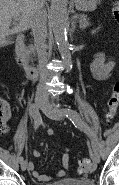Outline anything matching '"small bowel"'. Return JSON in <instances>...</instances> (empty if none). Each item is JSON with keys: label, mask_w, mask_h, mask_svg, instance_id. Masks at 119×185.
<instances>
[{"label": "small bowel", "mask_w": 119, "mask_h": 185, "mask_svg": "<svg viewBox=\"0 0 119 185\" xmlns=\"http://www.w3.org/2000/svg\"><path fill=\"white\" fill-rule=\"evenodd\" d=\"M115 67V61L107 60L105 54L99 52L95 55L94 60L90 65L91 73L94 79L96 80H105L110 76V73ZM4 113L7 115L8 120L11 117V110L7 103L3 105ZM52 129L49 130V134H52ZM33 156L35 159L41 157V153L38 150L33 151ZM69 160H70V148L63 147L62 149V169L56 173V177H64L68 174L69 171ZM29 171L33 175V177L39 182H46L51 180V178L47 175L41 174L35 168L34 163H29Z\"/></svg>", "instance_id": "c3829d8e"}]
</instances>
